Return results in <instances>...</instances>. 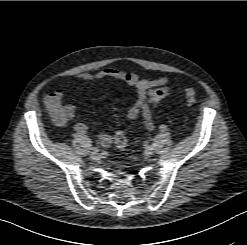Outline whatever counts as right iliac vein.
Returning a JSON list of instances; mask_svg holds the SVG:
<instances>
[{
	"label": "right iliac vein",
	"instance_id": "right-iliac-vein-1",
	"mask_svg": "<svg viewBox=\"0 0 247 245\" xmlns=\"http://www.w3.org/2000/svg\"><path fill=\"white\" fill-rule=\"evenodd\" d=\"M90 157H91L93 160H96V159L99 158V153H98V152H91Z\"/></svg>",
	"mask_w": 247,
	"mask_h": 245
}]
</instances>
